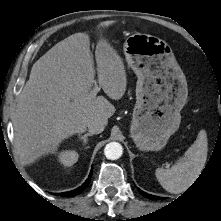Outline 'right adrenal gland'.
<instances>
[{
  "instance_id": "obj_1",
  "label": "right adrenal gland",
  "mask_w": 221,
  "mask_h": 221,
  "mask_svg": "<svg viewBox=\"0 0 221 221\" xmlns=\"http://www.w3.org/2000/svg\"><path fill=\"white\" fill-rule=\"evenodd\" d=\"M93 134L92 133H86V134H84V135H80L79 134V138L81 139V140H83V145H86L87 144V142H88V136H92Z\"/></svg>"
}]
</instances>
